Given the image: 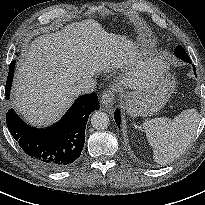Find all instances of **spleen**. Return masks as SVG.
<instances>
[{"label": "spleen", "instance_id": "spleen-1", "mask_svg": "<svg viewBox=\"0 0 205 205\" xmlns=\"http://www.w3.org/2000/svg\"><path fill=\"white\" fill-rule=\"evenodd\" d=\"M199 123L196 109L181 112L174 119L166 117L146 120L143 128L153 159L159 164H168L182 155L191 144Z\"/></svg>", "mask_w": 205, "mask_h": 205}]
</instances>
